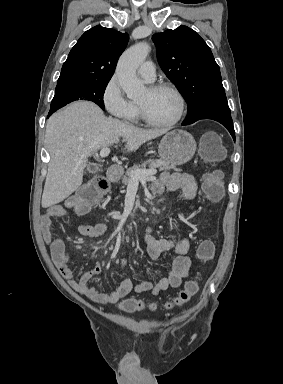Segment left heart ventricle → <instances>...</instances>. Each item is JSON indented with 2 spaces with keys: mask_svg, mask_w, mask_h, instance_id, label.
<instances>
[{
  "mask_svg": "<svg viewBox=\"0 0 283 384\" xmlns=\"http://www.w3.org/2000/svg\"><path fill=\"white\" fill-rule=\"evenodd\" d=\"M138 103L151 120L159 123L171 121L178 111L177 99L168 90H151L148 87Z\"/></svg>",
  "mask_w": 283,
  "mask_h": 384,
  "instance_id": "1",
  "label": "left heart ventricle"
}]
</instances>
